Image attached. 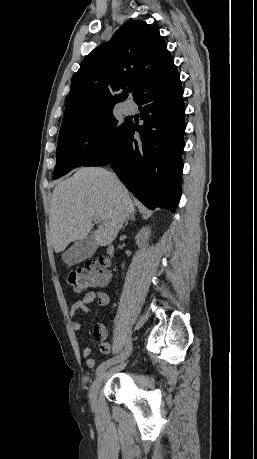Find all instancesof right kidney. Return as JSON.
<instances>
[{
  "mask_svg": "<svg viewBox=\"0 0 257 459\" xmlns=\"http://www.w3.org/2000/svg\"><path fill=\"white\" fill-rule=\"evenodd\" d=\"M151 230L150 227H143L136 236L137 245H142L143 242H146L149 239Z\"/></svg>",
  "mask_w": 257,
  "mask_h": 459,
  "instance_id": "obj_1",
  "label": "right kidney"
}]
</instances>
